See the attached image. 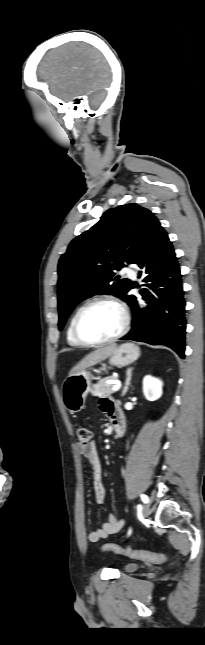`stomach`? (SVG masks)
<instances>
[{"mask_svg":"<svg viewBox=\"0 0 205 645\" xmlns=\"http://www.w3.org/2000/svg\"><path fill=\"white\" fill-rule=\"evenodd\" d=\"M140 356V349L133 343H125L117 347L109 356V364L124 367L135 362ZM92 375L83 370L68 376L62 384V397L66 409L74 414L80 412L91 390Z\"/></svg>","mask_w":205,"mask_h":645,"instance_id":"obj_1","label":"stomach"}]
</instances>
